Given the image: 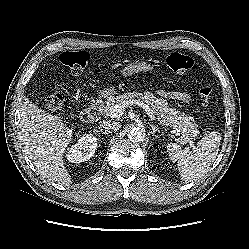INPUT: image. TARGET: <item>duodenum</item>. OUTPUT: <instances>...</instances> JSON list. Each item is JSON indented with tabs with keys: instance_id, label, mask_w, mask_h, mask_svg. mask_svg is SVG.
Instances as JSON below:
<instances>
[{
	"instance_id": "duodenum-1",
	"label": "duodenum",
	"mask_w": 249,
	"mask_h": 249,
	"mask_svg": "<svg viewBox=\"0 0 249 249\" xmlns=\"http://www.w3.org/2000/svg\"><path fill=\"white\" fill-rule=\"evenodd\" d=\"M102 102L100 100L93 101L86 107L82 113L81 118L85 122H94L99 118Z\"/></svg>"
}]
</instances>
